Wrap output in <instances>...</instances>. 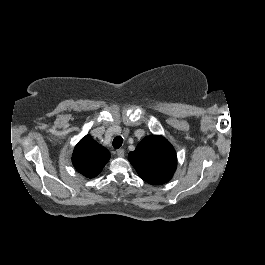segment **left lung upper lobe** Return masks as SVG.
<instances>
[{
  "label": "left lung upper lobe",
  "mask_w": 265,
  "mask_h": 265,
  "mask_svg": "<svg viewBox=\"0 0 265 265\" xmlns=\"http://www.w3.org/2000/svg\"><path fill=\"white\" fill-rule=\"evenodd\" d=\"M139 176L152 185L168 182L176 170V152L162 136H147L129 153Z\"/></svg>",
  "instance_id": "left-lung-upper-lobe-1"
}]
</instances>
